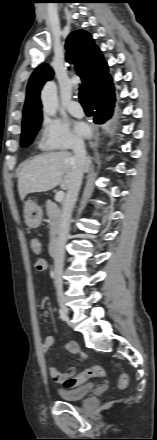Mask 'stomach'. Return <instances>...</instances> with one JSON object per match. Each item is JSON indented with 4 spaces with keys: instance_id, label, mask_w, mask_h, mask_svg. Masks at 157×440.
Wrapping results in <instances>:
<instances>
[{
    "instance_id": "stomach-1",
    "label": "stomach",
    "mask_w": 157,
    "mask_h": 440,
    "mask_svg": "<svg viewBox=\"0 0 157 440\" xmlns=\"http://www.w3.org/2000/svg\"><path fill=\"white\" fill-rule=\"evenodd\" d=\"M43 212L34 201L28 200L24 203V218L26 225L31 228H37L41 224Z\"/></svg>"
}]
</instances>
